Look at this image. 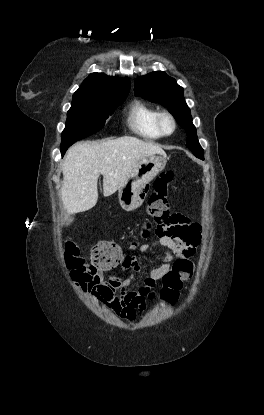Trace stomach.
<instances>
[{"instance_id":"stomach-1","label":"stomach","mask_w":264,"mask_h":415,"mask_svg":"<svg viewBox=\"0 0 264 415\" xmlns=\"http://www.w3.org/2000/svg\"><path fill=\"white\" fill-rule=\"evenodd\" d=\"M166 163L163 155L144 157L136 163L126 182L119 188V203L125 211H133L142 205L144 187L165 168Z\"/></svg>"}]
</instances>
